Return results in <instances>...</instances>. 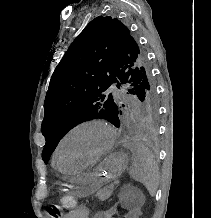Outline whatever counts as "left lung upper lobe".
<instances>
[{"label": "left lung upper lobe", "mask_w": 211, "mask_h": 218, "mask_svg": "<svg viewBox=\"0 0 211 218\" xmlns=\"http://www.w3.org/2000/svg\"><path fill=\"white\" fill-rule=\"evenodd\" d=\"M112 84L137 95L136 115L155 129L158 105L146 52L118 19L98 16L73 41L51 76L41 126L45 163L62 137L79 123L103 118L120 126L125 104L107 95Z\"/></svg>", "instance_id": "left-lung-upper-lobe-1"}]
</instances>
